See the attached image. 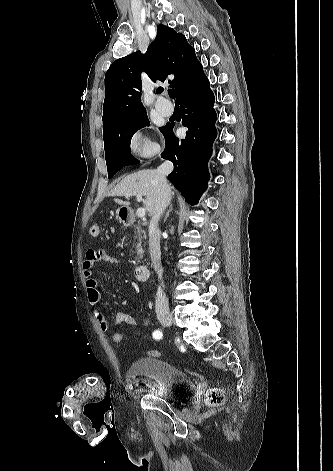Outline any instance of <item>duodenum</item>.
<instances>
[{"label":"duodenum","instance_id":"duodenum-1","mask_svg":"<svg viewBox=\"0 0 333 471\" xmlns=\"http://www.w3.org/2000/svg\"><path fill=\"white\" fill-rule=\"evenodd\" d=\"M123 222L125 225L130 226L134 223V216L130 210H125L123 214ZM135 277L139 281H145L149 277V268L145 262H140L136 265L135 270Z\"/></svg>","mask_w":333,"mask_h":471}]
</instances>
